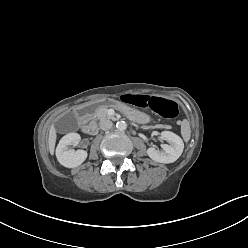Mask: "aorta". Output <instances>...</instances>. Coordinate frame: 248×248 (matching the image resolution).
<instances>
[{"instance_id": "1", "label": "aorta", "mask_w": 248, "mask_h": 248, "mask_svg": "<svg viewBox=\"0 0 248 248\" xmlns=\"http://www.w3.org/2000/svg\"><path fill=\"white\" fill-rule=\"evenodd\" d=\"M116 128L119 130V131H124L127 129V124L125 121H119L116 123Z\"/></svg>"}]
</instances>
